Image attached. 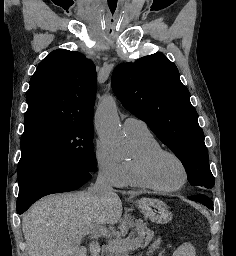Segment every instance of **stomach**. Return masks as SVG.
Returning a JSON list of instances; mask_svg holds the SVG:
<instances>
[{
    "mask_svg": "<svg viewBox=\"0 0 236 256\" xmlns=\"http://www.w3.org/2000/svg\"><path fill=\"white\" fill-rule=\"evenodd\" d=\"M139 207L142 209L143 213L155 223L165 224L172 219V214L168 206L160 200L143 198L139 201ZM159 243L160 240L155 241L149 252L155 250Z\"/></svg>",
    "mask_w": 236,
    "mask_h": 256,
    "instance_id": "stomach-1",
    "label": "stomach"
}]
</instances>
